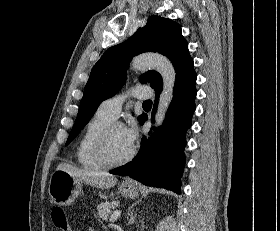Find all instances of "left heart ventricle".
<instances>
[{
	"instance_id": "obj_1",
	"label": "left heart ventricle",
	"mask_w": 280,
	"mask_h": 231,
	"mask_svg": "<svg viewBox=\"0 0 280 231\" xmlns=\"http://www.w3.org/2000/svg\"><path fill=\"white\" fill-rule=\"evenodd\" d=\"M108 155L113 160L124 158L131 150H129L122 139V127L115 126L108 137L107 141Z\"/></svg>"
}]
</instances>
